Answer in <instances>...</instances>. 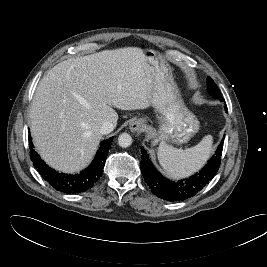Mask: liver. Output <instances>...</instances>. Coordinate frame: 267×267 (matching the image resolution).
Segmentation results:
<instances>
[{"label": "liver", "instance_id": "6515ba94", "mask_svg": "<svg viewBox=\"0 0 267 267\" xmlns=\"http://www.w3.org/2000/svg\"><path fill=\"white\" fill-rule=\"evenodd\" d=\"M143 50H105L70 58L39 82L30 108L31 134L40 156L54 169L74 173L95 154L105 121L117 124L113 109L151 105V77Z\"/></svg>", "mask_w": 267, "mask_h": 267}]
</instances>
